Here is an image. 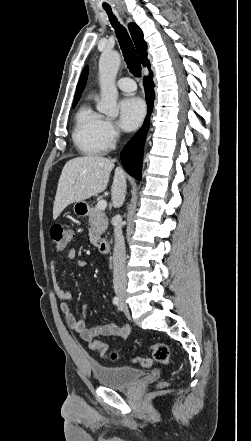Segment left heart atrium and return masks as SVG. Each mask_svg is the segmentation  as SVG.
Returning a JSON list of instances; mask_svg holds the SVG:
<instances>
[{
	"mask_svg": "<svg viewBox=\"0 0 251 441\" xmlns=\"http://www.w3.org/2000/svg\"><path fill=\"white\" fill-rule=\"evenodd\" d=\"M120 126L128 131L136 129L145 115V104L137 97H127L120 102Z\"/></svg>",
	"mask_w": 251,
	"mask_h": 441,
	"instance_id": "left-heart-atrium-1",
	"label": "left heart atrium"
}]
</instances>
